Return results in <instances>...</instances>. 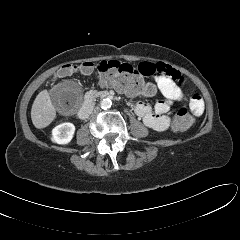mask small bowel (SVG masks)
<instances>
[{
    "label": "small bowel",
    "instance_id": "small-bowel-1",
    "mask_svg": "<svg viewBox=\"0 0 240 240\" xmlns=\"http://www.w3.org/2000/svg\"><path fill=\"white\" fill-rule=\"evenodd\" d=\"M138 68L143 76L154 78L163 98L155 104L154 109L147 103L138 102L134 111L147 127L164 131L170 126V118L167 115L170 107L176 102L185 100V93L179 85V82H183V77L176 69L165 63L142 62ZM189 108L194 116L202 115L204 101L199 94L191 95Z\"/></svg>",
    "mask_w": 240,
    "mask_h": 240
}]
</instances>
